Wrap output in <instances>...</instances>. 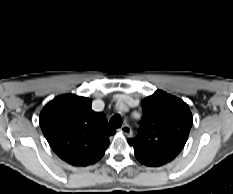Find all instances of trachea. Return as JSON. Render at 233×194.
I'll return each instance as SVG.
<instances>
[{
    "label": "trachea",
    "instance_id": "obj_1",
    "mask_svg": "<svg viewBox=\"0 0 233 194\" xmlns=\"http://www.w3.org/2000/svg\"><path fill=\"white\" fill-rule=\"evenodd\" d=\"M122 125V121H121V117L119 115H115L110 119V127L112 129H116L121 127Z\"/></svg>",
    "mask_w": 233,
    "mask_h": 194
}]
</instances>
